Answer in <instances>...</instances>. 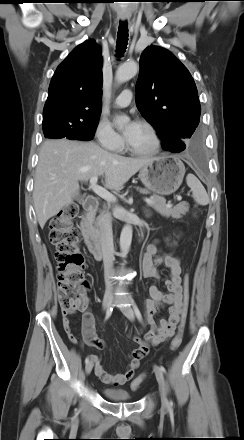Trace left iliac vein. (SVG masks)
Listing matches in <instances>:
<instances>
[{
    "instance_id": "left-iliac-vein-1",
    "label": "left iliac vein",
    "mask_w": 244,
    "mask_h": 440,
    "mask_svg": "<svg viewBox=\"0 0 244 440\" xmlns=\"http://www.w3.org/2000/svg\"><path fill=\"white\" fill-rule=\"evenodd\" d=\"M121 310H122L123 314L130 321H133L135 319L134 311L129 305L122 306ZM154 372H155L156 379H157V381L159 383V387H160L162 407L167 408L169 406V402H168L167 395H166V384H165L163 373L159 369V367H157V366H154Z\"/></svg>"
}]
</instances>
